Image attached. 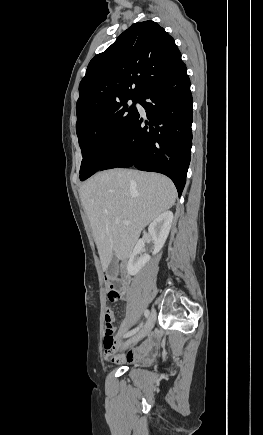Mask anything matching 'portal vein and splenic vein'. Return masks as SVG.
Instances as JSON below:
<instances>
[{
  "instance_id": "portal-vein-and-splenic-vein-1",
  "label": "portal vein and splenic vein",
  "mask_w": 263,
  "mask_h": 435,
  "mask_svg": "<svg viewBox=\"0 0 263 435\" xmlns=\"http://www.w3.org/2000/svg\"><path fill=\"white\" fill-rule=\"evenodd\" d=\"M121 222V220L119 219V218H116L115 219V223L116 224H119ZM124 222V224H126V225H129L130 223L128 222V221H123Z\"/></svg>"
}]
</instances>
